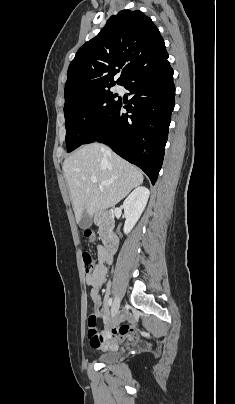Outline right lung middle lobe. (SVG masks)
<instances>
[{
  "label": "right lung middle lobe",
  "instance_id": "1",
  "mask_svg": "<svg viewBox=\"0 0 235 404\" xmlns=\"http://www.w3.org/2000/svg\"><path fill=\"white\" fill-rule=\"evenodd\" d=\"M110 88L65 103L64 116L68 152L82 145L119 102L116 99L117 95L113 94L109 90Z\"/></svg>",
  "mask_w": 235,
  "mask_h": 404
}]
</instances>
